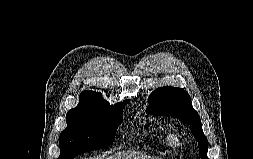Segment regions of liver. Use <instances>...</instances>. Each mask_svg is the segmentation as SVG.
<instances>
[{
  "label": "liver",
  "instance_id": "1",
  "mask_svg": "<svg viewBox=\"0 0 253 159\" xmlns=\"http://www.w3.org/2000/svg\"><path fill=\"white\" fill-rule=\"evenodd\" d=\"M90 159H101V158H90ZM105 159H151L139 152L129 151V152H118L114 155L108 156Z\"/></svg>",
  "mask_w": 253,
  "mask_h": 159
}]
</instances>
